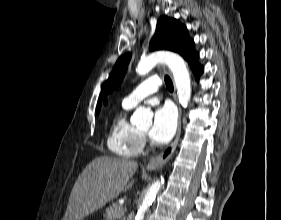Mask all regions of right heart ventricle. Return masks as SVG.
Masks as SVG:
<instances>
[{"mask_svg":"<svg viewBox=\"0 0 281 220\" xmlns=\"http://www.w3.org/2000/svg\"><path fill=\"white\" fill-rule=\"evenodd\" d=\"M131 109V106L122 103V110L113 118L107 138L109 150L121 157H136L143 150L141 132L127 118Z\"/></svg>","mask_w":281,"mask_h":220,"instance_id":"e07e8e85","label":"right heart ventricle"}]
</instances>
